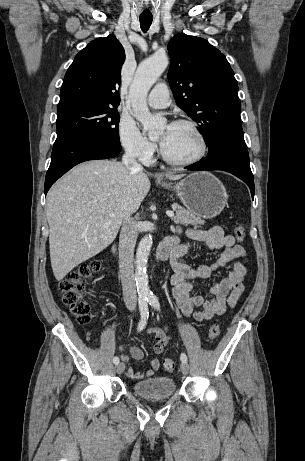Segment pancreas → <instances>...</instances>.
I'll return each mask as SVG.
<instances>
[{"label": "pancreas", "mask_w": 305, "mask_h": 461, "mask_svg": "<svg viewBox=\"0 0 305 461\" xmlns=\"http://www.w3.org/2000/svg\"><path fill=\"white\" fill-rule=\"evenodd\" d=\"M172 209L176 212V217L173 218V221L176 224H181L184 226L188 225H204L205 221L200 217H197L193 212H190L178 204H173Z\"/></svg>", "instance_id": "obj_1"}]
</instances>
